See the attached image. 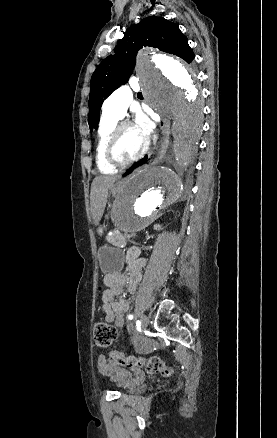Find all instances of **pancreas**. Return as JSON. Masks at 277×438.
<instances>
[{"label":"pancreas","mask_w":277,"mask_h":438,"mask_svg":"<svg viewBox=\"0 0 277 438\" xmlns=\"http://www.w3.org/2000/svg\"><path fill=\"white\" fill-rule=\"evenodd\" d=\"M123 230L110 231L105 238L107 244H112L114 248H121L123 244L128 243V236L123 235Z\"/></svg>","instance_id":"1"}]
</instances>
